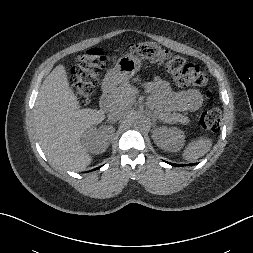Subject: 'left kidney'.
Segmentation results:
<instances>
[{"label":"left kidney","instance_id":"left-kidney-1","mask_svg":"<svg viewBox=\"0 0 253 253\" xmlns=\"http://www.w3.org/2000/svg\"><path fill=\"white\" fill-rule=\"evenodd\" d=\"M158 147L165 151L176 152L184 143V133L177 128H158L152 136Z\"/></svg>","mask_w":253,"mask_h":253}]
</instances>
